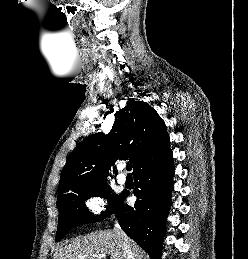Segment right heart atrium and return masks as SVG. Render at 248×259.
<instances>
[{
    "instance_id": "1",
    "label": "right heart atrium",
    "mask_w": 248,
    "mask_h": 259,
    "mask_svg": "<svg viewBox=\"0 0 248 259\" xmlns=\"http://www.w3.org/2000/svg\"><path fill=\"white\" fill-rule=\"evenodd\" d=\"M85 203L88 210L95 216L100 215L106 205L105 200L99 195L90 196Z\"/></svg>"
}]
</instances>
